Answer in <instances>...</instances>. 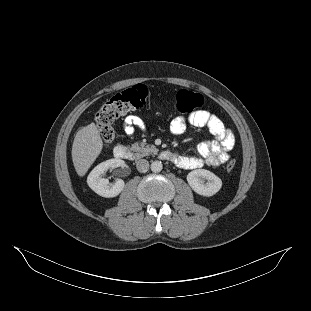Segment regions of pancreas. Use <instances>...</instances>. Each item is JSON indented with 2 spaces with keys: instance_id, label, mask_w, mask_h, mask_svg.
<instances>
[{
  "instance_id": "cf45deb5",
  "label": "pancreas",
  "mask_w": 311,
  "mask_h": 311,
  "mask_svg": "<svg viewBox=\"0 0 311 311\" xmlns=\"http://www.w3.org/2000/svg\"><path fill=\"white\" fill-rule=\"evenodd\" d=\"M131 150L137 153V157L156 154L158 152V148H156L154 145H146L143 142L132 145Z\"/></svg>"
}]
</instances>
